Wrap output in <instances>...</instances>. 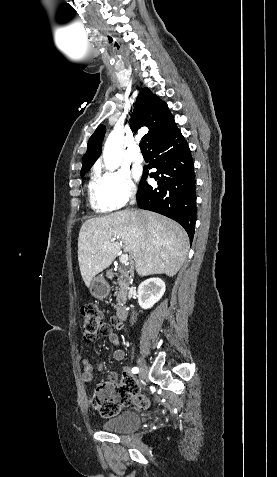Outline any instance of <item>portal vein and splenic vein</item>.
<instances>
[{
	"instance_id": "18ae733b",
	"label": "portal vein and splenic vein",
	"mask_w": 277,
	"mask_h": 477,
	"mask_svg": "<svg viewBox=\"0 0 277 477\" xmlns=\"http://www.w3.org/2000/svg\"><path fill=\"white\" fill-rule=\"evenodd\" d=\"M115 240H116L115 238L112 239L113 242H114ZM128 259H129L128 254H122V255L120 256V263H122V264H127Z\"/></svg>"
}]
</instances>
